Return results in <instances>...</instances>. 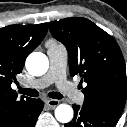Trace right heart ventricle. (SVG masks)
Here are the masks:
<instances>
[{"label":"right heart ventricle","instance_id":"right-heart-ventricle-1","mask_svg":"<svg viewBox=\"0 0 127 127\" xmlns=\"http://www.w3.org/2000/svg\"><path fill=\"white\" fill-rule=\"evenodd\" d=\"M48 45L57 46V45H56V42H54V41H50V42L48 43Z\"/></svg>","mask_w":127,"mask_h":127}]
</instances>
